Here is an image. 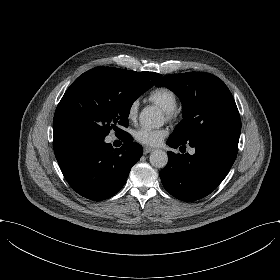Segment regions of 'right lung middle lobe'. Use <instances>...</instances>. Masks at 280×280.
<instances>
[{
	"instance_id": "dd1d6c3e",
	"label": "right lung middle lobe",
	"mask_w": 280,
	"mask_h": 280,
	"mask_svg": "<svg viewBox=\"0 0 280 280\" xmlns=\"http://www.w3.org/2000/svg\"><path fill=\"white\" fill-rule=\"evenodd\" d=\"M148 89L124 69L93 68L66 90L56 108L53 127L74 138L104 139L111 129L128 127L133 102Z\"/></svg>"
}]
</instances>
